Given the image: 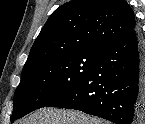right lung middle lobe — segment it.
Returning <instances> with one entry per match:
<instances>
[{"instance_id":"dd1d6c3e","label":"right lung middle lobe","mask_w":145,"mask_h":124,"mask_svg":"<svg viewBox=\"0 0 145 124\" xmlns=\"http://www.w3.org/2000/svg\"><path fill=\"white\" fill-rule=\"evenodd\" d=\"M100 53L78 52L50 60L21 76L13 103L11 122L45 107L79 83Z\"/></svg>"}]
</instances>
